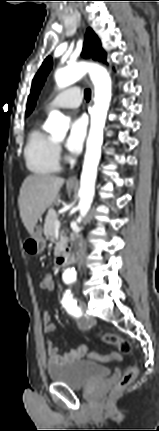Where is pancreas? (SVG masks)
Here are the masks:
<instances>
[{
  "label": "pancreas",
  "instance_id": "1",
  "mask_svg": "<svg viewBox=\"0 0 159 431\" xmlns=\"http://www.w3.org/2000/svg\"><path fill=\"white\" fill-rule=\"evenodd\" d=\"M58 219V215L53 208H50L47 212L44 224V235L46 238H50L52 240L55 231V221ZM65 237L61 235L60 242L57 243V249H60L62 245L65 243Z\"/></svg>",
  "mask_w": 159,
  "mask_h": 431
}]
</instances>
